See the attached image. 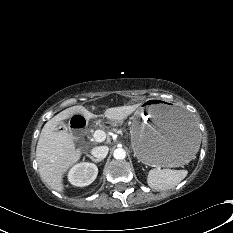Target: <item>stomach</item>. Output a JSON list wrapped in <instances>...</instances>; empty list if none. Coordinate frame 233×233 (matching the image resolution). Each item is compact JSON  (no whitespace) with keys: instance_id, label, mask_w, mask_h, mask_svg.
Returning <instances> with one entry per match:
<instances>
[{"instance_id":"obj_1","label":"stomach","mask_w":233,"mask_h":233,"mask_svg":"<svg viewBox=\"0 0 233 233\" xmlns=\"http://www.w3.org/2000/svg\"><path fill=\"white\" fill-rule=\"evenodd\" d=\"M131 145L144 164L178 167L188 163L200 146L192 117L178 104L149 100L131 117Z\"/></svg>"}]
</instances>
